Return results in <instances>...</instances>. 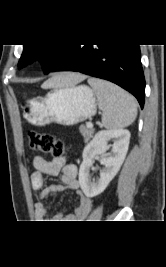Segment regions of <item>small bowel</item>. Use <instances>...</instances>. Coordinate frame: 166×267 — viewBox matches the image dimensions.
<instances>
[{
  "instance_id": "c3829d8e",
  "label": "small bowel",
  "mask_w": 166,
  "mask_h": 267,
  "mask_svg": "<svg viewBox=\"0 0 166 267\" xmlns=\"http://www.w3.org/2000/svg\"><path fill=\"white\" fill-rule=\"evenodd\" d=\"M35 171L31 175V183L36 192L34 212L38 220L48 218L47 210L44 206L46 199L54 193H62L70 189L77 194L78 205L74 213L63 215L61 213L50 217L52 222H75L84 220L92 209V200L80 190L78 180V168L74 164L66 163L65 158L55 157L44 159L36 156L33 160ZM60 175L61 183L45 186V177Z\"/></svg>"
}]
</instances>
